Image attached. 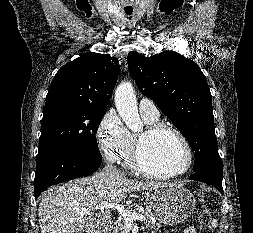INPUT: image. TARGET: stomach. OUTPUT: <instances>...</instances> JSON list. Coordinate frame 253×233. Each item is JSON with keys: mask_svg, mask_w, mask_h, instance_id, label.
Returning a JSON list of instances; mask_svg holds the SVG:
<instances>
[{"mask_svg": "<svg viewBox=\"0 0 253 233\" xmlns=\"http://www.w3.org/2000/svg\"><path fill=\"white\" fill-rule=\"evenodd\" d=\"M196 200L190 190L182 184L167 183L148 190L146 208L164 225H177L185 221L194 211Z\"/></svg>", "mask_w": 253, "mask_h": 233, "instance_id": "obj_1", "label": "stomach"}]
</instances>
